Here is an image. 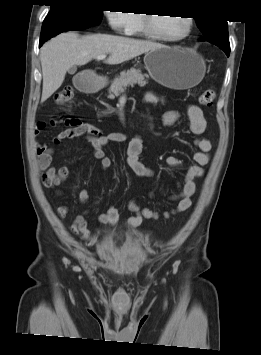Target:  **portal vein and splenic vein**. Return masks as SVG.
Here are the masks:
<instances>
[{"mask_svg": "<svg viewBox=\"0 0 261 355\" xmlns=\"http://www.w3.org/2000/svg\"><path fill=\"white\" fill-rule=\"evenodd\" d=\"M105 58H106V54H103V55L97 56L95 59H97V60H103V59H105Z\"/></svg>", "mask_w": 261, "mask_h": 355, "instance_id": "1", "label": "portal vein and splenic vein"}]
</instances>
